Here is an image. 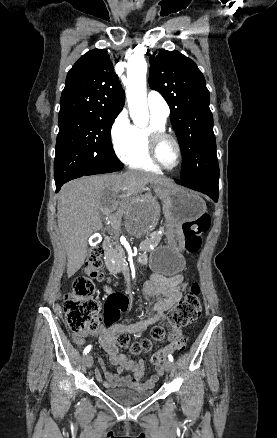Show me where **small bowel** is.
Masks as SVG:
<instances>
[{
	"label": "small bowel",
	"mask_w": 277,
	"mask_h": 438,
	"mask_svg": "<svg viewBox=\"0 0 277 438\" xmlns=\"http://www.w3.org/2000/svg\"><path fill=\"white\" fill-rule=\"evenodd\" d=\"M186 289L181 274L177 273L171 276H165L161 273H154L150 280L144 285L146 296L154 298L155 303L151 306L149 317L130 324H117L112 327H99L94 332L74 333L72 339L75 344L82 346L89 337L97 338L103 350L107 353L110 363L116 368L115 372H109V366L101 362L100 369L105 372V386L108 388L128 387L136 390H149L153 388L164 373L162 363H153L155 370L152 376L144 380L145 361L140 359L137 362L131 361L125 354L119 352L116 343V336L119 333L138 335L147 330L153 324L161 323L166 318V313L182 298ZM181 336L180 330H171L168 338L172 342L166 348V357L175 349L174 341ZM125 371H130L132 376H124ZM99 377V373L97 372Z\"/></svg>",
	"instance_id": "obj_1"
}]
</instances>
